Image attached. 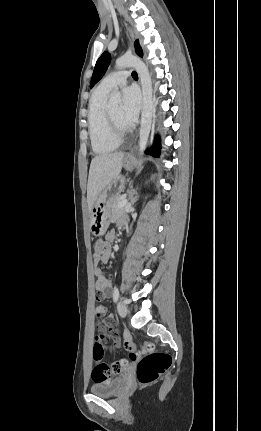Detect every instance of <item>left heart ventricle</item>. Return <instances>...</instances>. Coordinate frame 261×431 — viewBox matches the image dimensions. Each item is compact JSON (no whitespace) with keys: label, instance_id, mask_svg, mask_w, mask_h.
I'll list each match as a JSON object with an SVG mask.
<instances>
[{"label":"left heart ventricle","instance_id":"b2bd125f","mask_svg":"<svg viewBox=\"0 0 261 431\" xmlns=\"http://www.w3.org/2000/svg\"><path fill=\"white\" fill-rule=\"evenodd\" d=\"M108 111H109L111 117L113 118V120L115 121V123L120 128L126 129V127L124 126V124L122 123L121 118H120V111H121L120 106L116 105V106L110 108Z\"/></svg>","mask_w":261,"mask_h":431}]
</instances>
